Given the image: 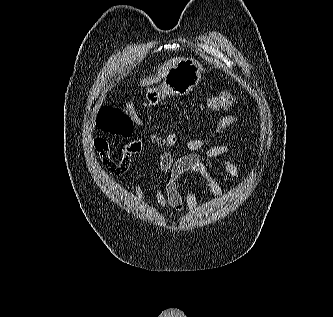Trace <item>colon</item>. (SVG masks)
Instances as JSON below:
<instances>
[{
	"label": "colon",
	"instance_id": "colon-1",
	"mask_svg": "<svg viewBox=\"0 0 333 317\" xmlns=\"http://www.w3.org/2000/svg\"><path fill=\"white\" fill-rule=\"evenodd\" d=\"M235 102V95L225 91L208 99L205 107L211 111L224 112L229 110ZM135 124H142V121L132 103L122 107L104 106L100 108L96 118V125L101 131L120 137L130 136ZM157 141L163 146H172L175 143V137L168 135L157 138Z\"/></svg>",
	"mask_w": 333,
	"mask_h": 317
}]
</instances>
